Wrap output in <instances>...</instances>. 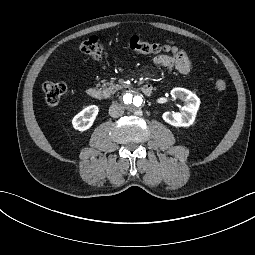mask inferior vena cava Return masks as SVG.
<instances>
[{
  "instance_id": "1",
  "label": "inferior vena cava",
  "mask_w": 255,
  "mask_h": 255,
  "mask_svg": "<svg viewBox=\"0 0 255 255\" xmlns=\"http://www.w3.org/2000/svg\"><path fill=\"white\" fill-rule=\"evenodd\" d=\"M109 115L113 118H117L120 117L124 114V110L121 107L120 104L118 103H113L110 107H109Z\"/></svg>"
}]
</instances>
